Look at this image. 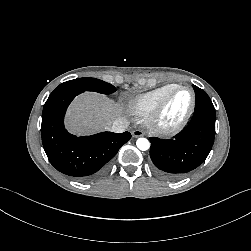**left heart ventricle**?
I'll list each match as a JSON object with an SVG mask.
<instances>
[{
  "mask_svg": "<svg viewBox=\"0 0 251 251\" xmlns=\"http://www.w3.org/2000/svg\"><path fill=\"white\" fill-rule=\"evenodd\" d=\"M190 103L191 96L188 91L174 93L165 108L162 121L168 125L177 123L186 113Z\"/></svg>",
  "mask_w": 251,
  "mask_h": 251,
  "instance_id": "1",
  "label": "left heart ventricle"
}]
</instances>
